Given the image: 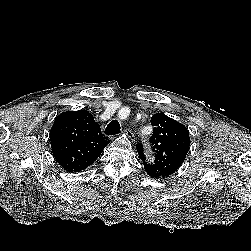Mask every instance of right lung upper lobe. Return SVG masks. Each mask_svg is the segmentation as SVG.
Here are the masks:
<instances>
[{"instance_id":"right-lung-upper-lobe-1","label":"right lung upper lobe","mask_w":251,"mask_h":251,"mask_svg":"<svg viewBox=\"0 0 251 251\" xmlns=\"http://www.w3.org/2000/svg\"><path fill=\"white\" fill-rule=\"evenodd\" d=\"M52 153L68 172H79L99 157L108 138L88 111H66L54 121L50 132Z\"/></svg>"}]
</instances>
